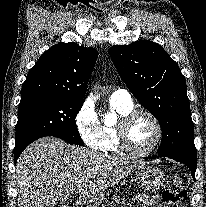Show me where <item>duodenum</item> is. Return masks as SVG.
I'll list each match as a JSON object with an SVG mask.
<instances>
[{
	"label": "duodenum",
	"instance_id": "obj_1",
	"mask_svg": "<svg viewBox=\"0 0 206 207\" xmlns=\"http://www.w3.org/2000/svg\"><path fill=\"white\" fill-rule=\"evenodd\" d=\"M76 207H87V200L82 198L79 201L75 202Z\"/></svg>",
	"mask_w": 206,
	"mask_h": 207
}]
</instances>
